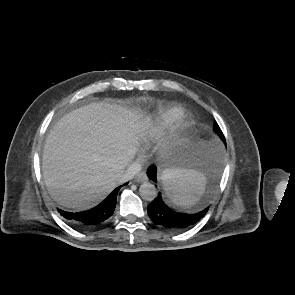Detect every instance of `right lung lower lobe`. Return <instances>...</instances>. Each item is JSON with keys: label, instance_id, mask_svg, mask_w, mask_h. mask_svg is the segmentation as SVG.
<instances>
[{"label": "right lung lower lobe", "instance_id": "obj_1", "mask_svg": "<svg viewBox=\"0 0 295 295\" xmlns=\"http://www.w3.org/2000/svg\"><path fill=\"white\" fill-rule=\"evenodd\" d=\"M120 187H117L112 193L98 206L80 213L66 212L58 210L70 223L81 228H93L105 222L114 212L116 206V197Z\"/></svg>", "mask_w": 295, "mask_h": 295}]
</instances>
